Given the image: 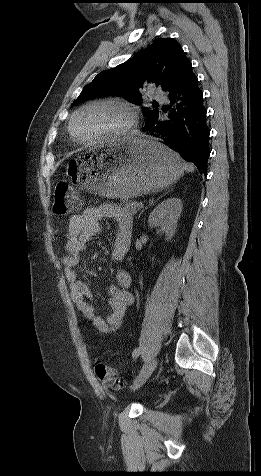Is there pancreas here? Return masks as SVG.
I'll use <instances>...</instances> for the list:
<instances>
[{
    "label": "pancreas",
    "mask_w": 261,
    "mask_h": 476,
    "mask_svg": "<svg viewBox=\"0 0 261 476\" xmlns=\"http://www.w3.org/2000/svg\"><path fill=\"white\" fill-rule=\"evenodd\" d=\"M140 209L141 206H139V203L136 201L123 202V210L131 215H135Z\"/></svg>",
    "instance_id": "cf45deb5"
}]
</instances>
